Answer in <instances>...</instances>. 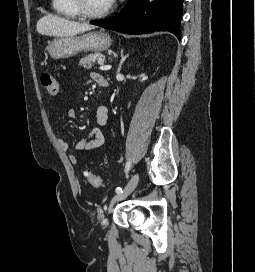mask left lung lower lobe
<instances>
[{"label": "left lung lower lobe", "instance_id": "1", "mask_svg": "<svg viewBox=\"0 0 255 272\" xmlns=\"http://www.w3.org/2000/svg\"><path fill=\"white\" fill-rule=\"evenodd\" d=\"M183 0H129L116 16L91 24L126 34L169 31L181 38Z\"/></svg>", "mask_w": 255, "mask_h": 272}]
</instances>
